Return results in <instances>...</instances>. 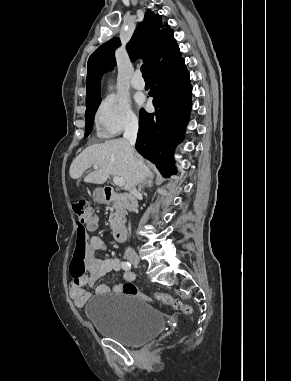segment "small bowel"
Masks as SVG:
<instances>
[{
	"label": "small bowel",
	"instance_id": "small-bowel-1",
	"mask_svg": "<svg viewBox=\"0 0 291 381\" xmlns=\"http://www.w3.org/2000/svg\"><path fill=\"white\" fill-rule=\"evenodd\" d=\"M107 245L101 237L93 236L89 239L86 248L84 264L89 270V275H81L72 279L69 284V295L74 305L77 308H82L88 298L89 293L85 289L86 286L94 285L106 273L111 271H119L121 269V262L118 258L100 259L95 256L97 251H104ZM135 280L133 272H125L122 276V281L132 282ZM123 283H116L112 287V291L119 293L122 291ZM110 288L107 285H99L96 289L97 293L108 292Z\"/></svg>",
	"mask_w": 291,
	"mask_h": 381
}]
</instances>
